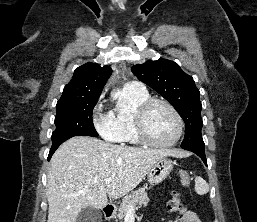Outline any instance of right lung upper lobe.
<instances>
[{
  "mask_svg": "<svg viewBox=\"0 0 257 222\" xmlns=\"http://www.w3.org/2000/svg\"><path fill=\"white\" fill-rule=\"evenodd\" d=\"M111 74L112 69L107 65L101 67L89 62L78 67L71 81L64 87L60 100L100 96Z\"/></svg>",
  "mask_w": 257,
  "mask_h": 222,
  "instance_id": "obj_1",
  "label": "right lung upper lobe"
}]
</instances>
